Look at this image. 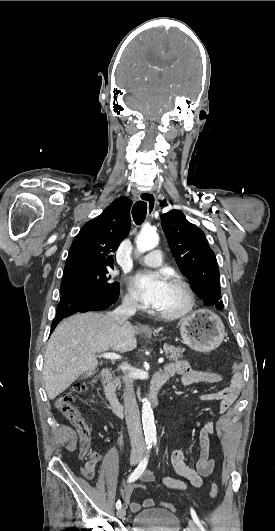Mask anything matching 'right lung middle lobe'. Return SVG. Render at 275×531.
<instances>
[{
    "label": "right lung middle lobe",
    "mask_w": 275,
    "mask_h": 531,
    "mask_svg": "<svg viewBox=\"0 0 275 531\" xmlns=\"http://www.w3.org/2000/svg\"><path fill=\"white\" fill-rule=\"evenodd\" d=\"M109 267H83L63 274L61 291L82 289L102 299H110L119 294V284L111 282Z\"/></svg>",
    "instance_id": "1"
}]
</instances>
